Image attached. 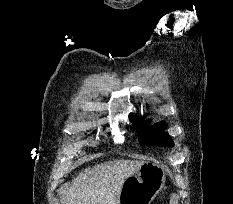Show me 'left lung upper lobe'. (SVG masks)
Wrapping results in <instances>:
<instances>
[{"label": "left lung upper lobe", "instance_id": "1", "mask_svg": "<svg viewBox=\"0 0 233 204\" xmlns=\"http://www.w3.org/2000/svg\"><path fill=\"white\" fill-rule=\"evenodd\" d=\"M149 123L150 121H135L133 124L138 131L141 144L152 146L161 144L166 147L174 146L170 136L163 131L166 127L164 122H159L152 127L148 126Z\"/></svg>", "mask_w": 233, "mask_h": 204}]
</instances>
